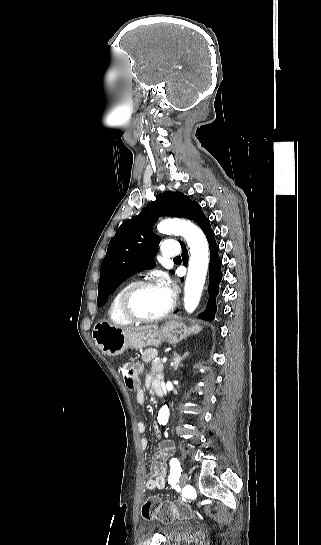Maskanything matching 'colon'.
I'll return each mask as SVG.
<instances>
[{
  "label": "colon",
  "mask_w": 321,
  "mask_h": 545,
  "mask_svg": "<svg viewBox=\"0 0 321 545\" xmlns=\"http://www.w3.org/2000/svg\"><path fill=\"white\" fill-rule=\"evenodd\" d=\"M118 371L122 375L125 385L129 389H135L137 381L132 363L122 361L118 365ZM141 514L143 518L148 520L157 519L162 522H171L175 519L188 517L190 510L183 503L164 502L158 497L152 496L143 503Z\"/></svg>",
  "instance_id": "1"
}]
</instances>
